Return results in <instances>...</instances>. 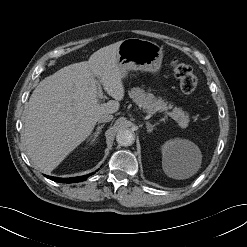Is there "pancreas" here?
Listing matches in <instances>:
<instances>
[{
	"label": "pancreas",
	"instance_id": "obj_1",
	"mask_svg": "<svg viewBox=\"0 0 247 247\" xmlns=\"http://www.w3.org/2000/svg\"><path fill=\"white\" fill-rule=\"evenodd\" d=\"M130 98L140 107L143 108V110L148 114H153L158 111H167L168 109L172 108V105L161 98H156L153 94L146 93L143 89H140L139 87L132 88L128 92ZM172 113L174 114L176 122L179 124L180 127L186 128L189 123V116L181 109L175 107L172 110Z\"/></svg>",
	"mask_w": 247,
	"mask_h": 247
}]
</instances>
